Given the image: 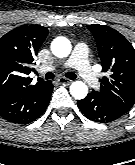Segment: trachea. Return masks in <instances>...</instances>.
I'll return each mask as SVG.
<instances>
[{"instance_id":"3493384b","label":"trachea","mask_w":135,"mask_h":165,"mask_svg":"<svg viewBox=\"0 0 135 165\" xmlns=\"http://www.w3.org/2000/svg\"><path fill=\"white\" fill-rule=\"evenodd\" d=\"M65 76L69 79H76L77 78L76 74L72 73V72L65 73ZM54 77H55V75L52 72H48L45 75V79H53Z\"/></svg>"}]
</instances>
